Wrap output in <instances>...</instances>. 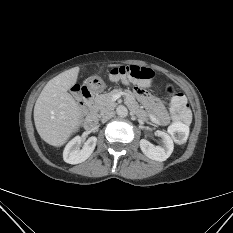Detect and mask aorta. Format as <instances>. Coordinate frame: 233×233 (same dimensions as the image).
Segmentation results:
<instances>
[{
  "mask_svg": "<svg viewBox=\"0 0 233 233\" xmlns=\"http://www.w3.org/2000/svg\"><path fill=\"white\" fill-rule=\"evenodd\" d=\"M116 112L120 117H126L128 115L127 108L125 106H122V105L117 107Z\"/></svg>",
  "mask_w": 233,
  "mask_h": 233,
  "instance_id": "1",
  "label": "aorta"
}]
</instances>
